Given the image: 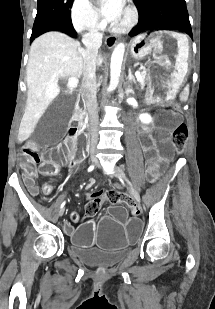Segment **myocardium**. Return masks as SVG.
<instances>
[{
    "label": "myocardium",
    "mask_w": 215,
    "mask_h": 309,
    "mask_svg": "<svg viewBox=\"0 0 215 309\" xmlns=\"http://www.w3.org/2000/svg\"><path fill=\"white\" fill-rule=\"evenodd\" d=\"M125 19H109L107 24L111 27V30H115L116 34H129L130 30L134 28L137 21L134 19L135 13L133 9H126Z\"/></svg>",
    "instance_id": "myocardium-1"
}]
</instances>
